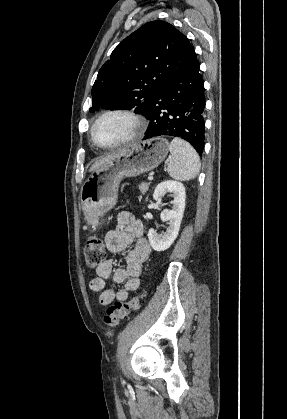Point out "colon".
Returning a JSON list of instances; mask_svg holds the SVG:
<instances>
[{
	"instance_id": "1",
	"label": "colon",
	"mask_w": 287,
	"mask_h": 419,
	"mask_svg": "<svg viewBox=\"0 0 287 419\" xmlns=\"http://www.w3.org/2000/svg\"><path fill=\"white\" fill-rule=\"evenodd\" d=\"M84 254L87 266L92 269L102 265L107 256L103 241L95 236L85 241ZM143 296L141 294L129 301H116L110 305L104 315V323L110 327L118 326L123 319L139 308Z\"/></svg>"
}]
</instances>
